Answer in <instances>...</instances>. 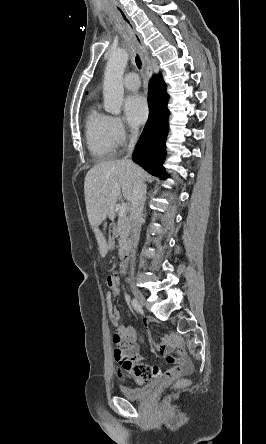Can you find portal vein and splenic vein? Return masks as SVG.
Segmentation results:
<instances>
[{"label":"portal vein and splenic vein","mask_w":266,"mask_h":444,"mask_svg":"<svg viewBox=\"0 0 266 444\" xmlns=\"http://www.w3.org/2000/svg\"><path fill=\"white\" fill-rule=\"evenodd\" d=\"M126 209H127V204L126 203H122L119 207V215L123 216L126 214Z\"/></svg>","instance_id":"portal-vein-and-splenic-vein-1"}]
</instances>
